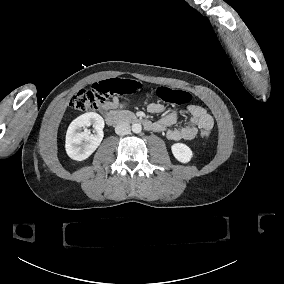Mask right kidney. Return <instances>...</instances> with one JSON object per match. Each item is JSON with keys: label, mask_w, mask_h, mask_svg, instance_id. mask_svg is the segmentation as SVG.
I'll use <instances>...</instances> for the list:
<instances>
[{"label": "right kidney", "mask_w": 284, "mask_h": 284, "mask_svg": "<svg viewBox=\"0 0 284 284\" xmlns=\"http://www.w3.org/2000/svg\"><path fill=\"white\" fill-rule=\"evenodd\" d=\"M93 125L96 134H90L85 128ZM84 128V131H82ZM103 118L94 112L82 114L71 122L66 133V152L77 161L88 158L100 145L103 139Z\"/></svg>", "instance_id": "obj_1"}]
</instances>
